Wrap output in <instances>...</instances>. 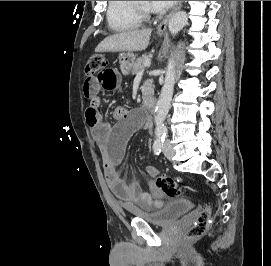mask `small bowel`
I'll use <instances>...</instances> for the list:
<instances>
[{
	"mask_svg": "<svg viewBox=\"0 0 271 266\" xmlns=\"http://www.w3.org/2000/svg\"><path fill=\"white\" fill-rule=\"evenodd\" d=\"M120 80L119 68L109 63L85 80L83 93L88 99L85 110L86 123L94 140L103 148L104 174L113 194L129 206L143 209L160 208L165 204L164 195L155 188L153 182L142 187L135 179H124L118 170V164L124 156L130 136L142 124L140 113L119 106L113 115L117 124L111 126L102 119L99 111L100 91L115 90ZM147 171L152 177L159 173L151 165L147 167Z\"/></svg>",
	"mask_w": 271,
	"mask_h": 266,
	"instance_id": "obj_1",
	"label": "small bowel"
}]
</instances>
